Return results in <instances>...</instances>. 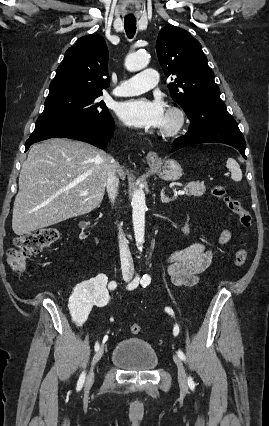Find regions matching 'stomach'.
I'll list each match as a JSON object with an SVG mask.
<instances>
[{
  "mask_svg": "<svg viewBox=\"0 0 269 426\" xmlns=\"http://www.w3.org/2000/svg\"><path fill=\"white\" fill-rule=\"evenodd\" d=\"M151 168L155 170L161 179L166 181L178 180L182 176L181 165L173 159H166L161 163L151 164Z\"/></svg>",
  "mask_w": 269,
  "mask_h": 426,
  "instance_id": "1",
  "label": "stomach"
}]
</instances>
